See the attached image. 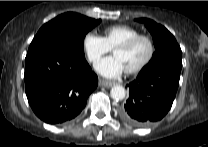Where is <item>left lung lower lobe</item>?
<instances>
[{
  "instance_id": "left-lung-lower-lobe-1",
  "label": "left lung lower lobe",
  "mask_w": 208,
  "mask_h": 147,
  "mask_svg": "<svg viewBox=\"0 0 208 147\" xmlns=\"http://www.w3.org/2000/svg\"><path fill=\"white\" fill-rule=\"evenodd\" d=\"M180 72L181 67L171 63L140 72L129 84V98L119 109L120 117L138 127L161 120L174 101Z\"/></svg>"
}]
</instances>
